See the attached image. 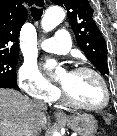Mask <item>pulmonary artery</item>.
<instances>
[{"mask_svg": "<svg viewBox=\"0 0 117 136\" xmlns=\"http://www.w3.org/2000/svg\"><path fill=\"white\" fill-rule=\"evenodd\" d=\"M71 40L69 32L66 29L59 28L55 35L41 42L40 47L47 52L65 54L71 49Z\"/></svg>", "mask_w": 117, "mask_h": 136, "instance_id": "obj_1", "label": "pulmonary artery"}]
</instances>
